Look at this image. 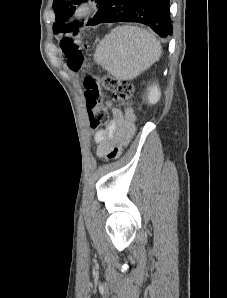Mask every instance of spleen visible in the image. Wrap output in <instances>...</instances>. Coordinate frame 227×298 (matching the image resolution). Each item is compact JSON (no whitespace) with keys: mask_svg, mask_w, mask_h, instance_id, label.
Wrapping results in <instances>:
<instances>
[{"mask_svg":"<svg viewBox=\"0 0 227 298\" xmlns=\"http://www.w3.org/2000/svg\"><path fill=\"white\" fill-rule=\"evenodd\" d=\"M162 54L160 41L147 30L123 25L97 45L94 60L119 80H131L155 63Z\"/></svg>","mask_w":227,"mask_h":298,"instance_id":"spleen-1","label":"spleen"}]
</instances>
